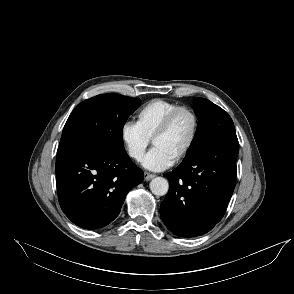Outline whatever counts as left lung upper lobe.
<instances>
[{"label": "left lung upper lobe", "mask_w": 294, "mask_h": 294, "mask_svg": "<svg viewBox=\"0 0 294 294\" xmlns=\"http://www.w3.org/2000/svg\"><path fill=\"white\" fill-rule=\"evenodd\" d=\"M198 126L184 159L193 155L201 145L226 134H236L231 117L219 106L205 98L193 102Z\"/></svg>", "instance_id": "left-lung-upper-lobe-1"}]
</instances>
